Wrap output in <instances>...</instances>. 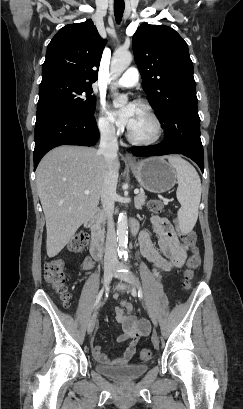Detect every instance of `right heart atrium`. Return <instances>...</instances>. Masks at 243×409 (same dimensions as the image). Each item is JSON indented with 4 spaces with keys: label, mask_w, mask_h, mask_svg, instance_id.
<instances>
[{
    "label": "right heart atrium",
    "mask_w": 243,
    "mask_h": 409,
    "mask_svg": "<svg viewBox=\"0 0 243 409\" xmlns=\"http://www.w3.org/2000/svg\"><path fill=\"white\" fill-rule=\"evenodd\" d=\"M97 126L100 132L106 136H114L117 133V129L112 123L110 116L103 104L99 106Z\"/></svg>",
    "instance_id": "d8ad5b80"
}]
</instances>
